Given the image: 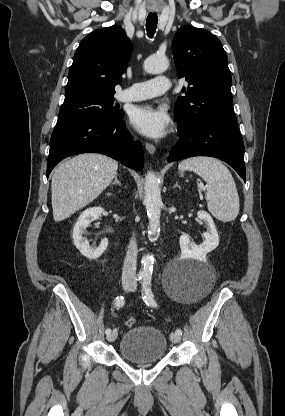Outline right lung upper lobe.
<instances>
[{
  "label": "right lung upper lobe",
  "mask_w": 285,
  "mask_h": 416,
  "mask_svg": "<svg viewBox=\"0 0 285 416\" xmlns=\"http://www.w3.org/2000/svg\"><path fill=\"white\" fill-rule=\"evenodd\" d=\"M133 50L120 26L97 29L80 43L68 74L65 99L113 97Z\"/></svg>",
  "instance_id": "right-lung-upper-lobe-1"
}]
</instances>
